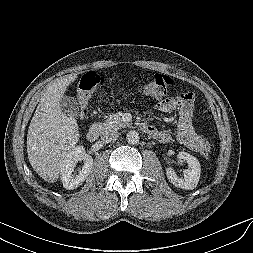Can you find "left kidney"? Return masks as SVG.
Segmentation results:
<instances>
[{"instance_id":"left-kidney-1","label":"left kidney","mask_w":253,"mask_h":253,"mask_svg":"<svg viewBox=\"0 0 253 253\" xmlns=\"http://www.w3.org/2000/svg\"><path fill=\"white\" fill-rule=\"evenodd\" d=\"M178 158L187 162L188 169L184 170L183 177L179 178L172 168L166 169L168 180L176 187L186 190H192L197 187L201 167L197 158L187 152H179Z\"/></svg>"}]
</instances>
